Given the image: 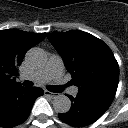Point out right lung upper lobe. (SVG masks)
<instances>
[{
	"label": "right lung upper lobe",
	"mask_w": 128,
	"mask_h": 128,
	"mask_svg": "<svg viewBox=\"0 0 128 128\" xmlns=\"http://www.w3.org/2000/svg\"><path fill=\"white\" fill-rule=\"evenodd\" d=\"M46 33H30L17 29L0 31V97L21 86L15 80L17 67L25 53L41 42Z\"/></svg>",
	"instance_id": "1"
}]
</instances>
